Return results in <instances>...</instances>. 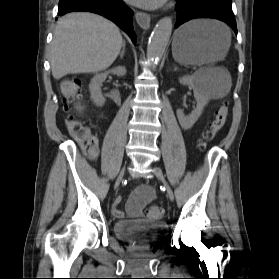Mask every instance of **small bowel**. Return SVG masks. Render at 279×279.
Wrapping results in <instances>:
<instances>
[{
    "label": "small bowel",
    "mask_w": 279,
    "mask_h": 279,
    "mask_svg": "<svg viewBox=\"0 0 279 279\" xmlns=\"http://www.w3.org/2000/svg\"><path fill=\"white\" fill-rule=\"evenodd\" d=\"M154 197V190L148 185L139 186L130 195L127 205L126 213L131 217L139 216L144 206L150 202ZM120 199L117 198L113 208L112 213L117 218H122L125 212L118 208Z\"/></svg>",
    "instance_id": "1"
}]
</instances>
